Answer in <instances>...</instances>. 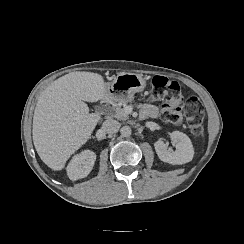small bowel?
Here are the masks:
<instances>
[{"mask_svg": "<svg viewBox=\"0 0 244 244\" xmlns=\"http://www.w3.org/2000/svg\"><path fill=\"white\" fill-rule=\"evenodd\" d=\"M142 116L145 118H157L160 115L159 108L152 104H146L141 109Z\"/></svg>", "mask_w": 244, "mask_h": 244, "instance_id": "1", "label": "small bowel"}]
</instances>
